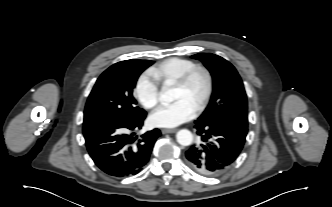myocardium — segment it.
I'll list each match as a JSON object with an SVG mask.
<instances>
[{
  "label": "myocardium",
  "mask_w": 332,
  "mask_h": 207,
  "mask_svg": "<svg viewBox=\"0 0 332 207\" xmlns=\"http://www.w3.org/2000/svg\"><path fill=\"white\" fill-rule=\"evenodd\" d=\"M198 74H202L204 76L205 88H204L202 96L200 97L195 108H196V111H202L210 100V97L213 92V85H214L212 73L210 72V70L208 68H206L205 66H202V65H195L194 67H192L191 69L186 71L183 75H181L174 82V84H175V86L185 89L191 84L193 79Z\"/></svg>",
  "instance_id": "obj_1"
}]
</instances>
